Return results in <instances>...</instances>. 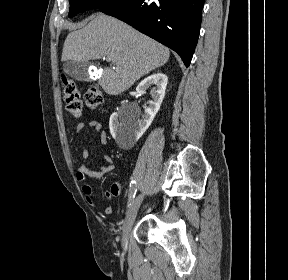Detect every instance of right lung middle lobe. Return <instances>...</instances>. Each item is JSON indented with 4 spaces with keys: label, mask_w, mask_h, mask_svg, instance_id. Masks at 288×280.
I'll use <instances>...</instances> for the list:
<instances>
[{
    "label": "right lung middle lobe",
    "mask_w": 288,
    "mask_h": 280,
    "mask_svg": "<svg viewBox=\"0 0 288 280\" xmlns=\"http://www.w3.org/2000/svg\"><path fill=\"white\" fill-rule=\"evenodd\" d=\"M119 1L121 0H69V17L90 9L101 10Z\"/></svg>",
    "instance_id": "obj_1"
}]
</instances>
